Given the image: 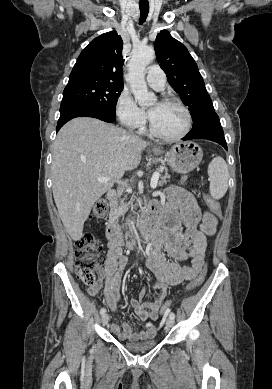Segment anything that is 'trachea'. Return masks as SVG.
<instances>
[{"label": "trachea", "mask_w": 272, "mask_h": 389, "mask_svg": "<svg viewBox=\"0 0 272 389\" xmlns=\"http://www.w3.org/2000/svg\"><path fill=\"white\" fill-rule=\"evenodd\" d=\"M139 8H140L139 23L142 24V23H144L146 21V18L148 16L149 4H139Z\"/></svg>", "instance_id": "obj_1"}]
</instances>
